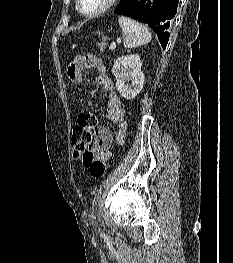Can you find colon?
Instances as JSON below:
<instances>
[{
  "label": "colon",
  "mask_w": 233,
  "mask_h": 263,
  "mask_svg": "<svg viewBox=\"0 0 233 263\" xmlns=\"http://www.w3.org/2000/svg\"><path fill=\"white\" fill-rule=\"evenodd\" d=\"M96 117L89 111H82L77 118V124L71 137L72 150L75 156H81L83 163L89 168L90 175L100 178L105 174L106 162L93 159L91 145L97 129Z\"/></svg>",
  "instance_id": "5ec220e1"
}]
</instances>
